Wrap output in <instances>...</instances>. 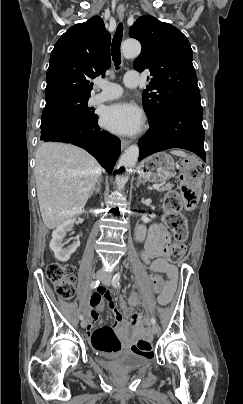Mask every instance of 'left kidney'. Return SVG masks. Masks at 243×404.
Segmentation results:
<instances>
[{"label":"left kidney","mask_w":243,"mask_h":404,"mask_svg":"<svg viewBox=\"0 0 243 404\" xmlns=\"http://www.w3.org/2000/svg\"><path fill=\"white\" fill-rule=\"evenodd\" d=\"M142 220L143 222H145V224H147V222H151V220H149V218H146V216H143Z\"/></svg>","instance_id":"1"}]
</instances>
